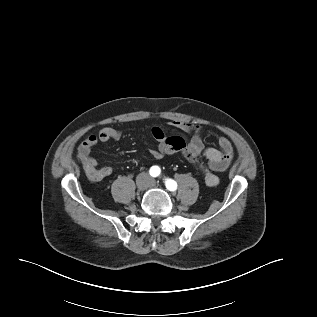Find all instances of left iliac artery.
Instances as JSON below:
<instances>
[{
  "label": "left iliac artery",
  "instance_id": "left-iliac-artery-1",
  "mask_svg": "<svg viewBox=\"0 0 317 317\" xmlns=\"http://www.w3.org/2000/svg\"><path fill=\"white\" fill-rule=\"evenodd\" d=\"M165 185L167 187V189H169L170 191H174L177 189V183L172 180V179H165Z\"/></svg>",
  "mask_w": 317,
  "mask_h": 317
}]
</instances>
